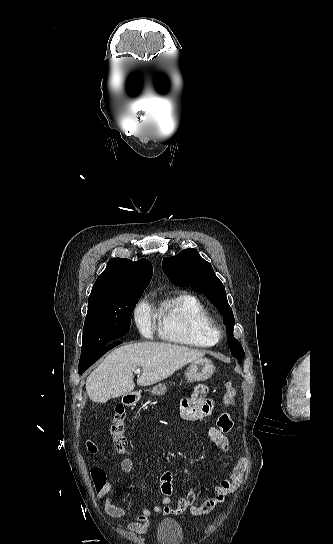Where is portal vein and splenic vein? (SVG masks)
<instances>
[{"label":"portal vein and splenic vein","mask_w":333,"mask_h":544,"mask_svg":"<svg viewBox=\"0 0 333 544\" xmlns=\"http://www.w3.org/2000/svg\"><path fill=\"white\" fill-rule=\"evenodd\" d=\"M134 372H135V373H140V369H139V368H135V369H134Z\"/></svg>","instance_id":"portal-vein-and-splenic-vein-1"}]
</instances>
